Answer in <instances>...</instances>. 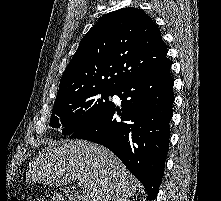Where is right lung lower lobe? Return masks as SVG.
Segmentation results:
<instances>
[{"label":"right lung lower lobe","instance_id":"98d812e1","mask_svg":"<svg viewBox=\"0 0 221 201\" xmlns=\"http://www.w3.org/2000/svg\"><path fill=\"white\" fill-rule=\"evenodd\" d=\"M122 108L112 102L70 138L99 143L110 149L139 179L155 200L162 182L173 115V79L168 59L153 71L130 79L115 89ZM117 113L121 121L114 115Z\"/></svg>","mask_w":221,"mask_h":201}]
</instances>
